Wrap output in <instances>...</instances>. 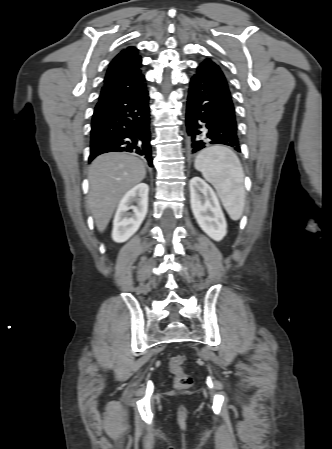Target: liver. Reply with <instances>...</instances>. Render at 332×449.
Segmentation results:
<instances>
[{
	"instance_id": "obj_1",
	"label": "liver",
	"mask_w": 332,
	"mask_h": 449,
	"mask_svg": "<svg viewBox=\"0 0 332 449\" xmlns=\"http://www.w3.org/2000/svg\"><path fill=\"white\" fill-rule=\"evenodd\" d=\"M145 175L143 162L124 152L106 153L91 163L87 206L99 232L106 229L125 193L141 182Z\"/></svg>"
}]
</instances>
